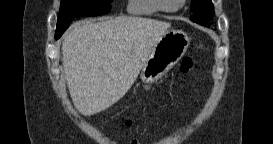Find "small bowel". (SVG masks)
<instances>
[{"instance_id": "small-bowel-1", "label": "small bowel", "mask_w": 273, "mask_h": 144, "mask_svg": "<svg viewBox=\"0 0 273 144\" xmlns=\"http://www.w3.org/2000/svg\"><path fill=\"white\" fill-rule=\"evenodd\" d=\"M139 142L137 140H131L130 144H138ZM161 144H165L164 142H160Z\"/></svg>"}]
</instances>
